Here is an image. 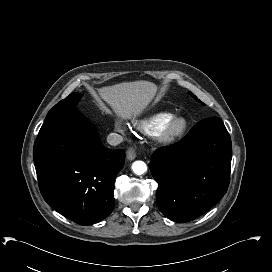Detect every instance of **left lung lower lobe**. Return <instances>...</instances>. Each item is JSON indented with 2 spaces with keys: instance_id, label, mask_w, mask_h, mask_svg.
<instances>
[{
  "instance_id": "obj_1",
  "label": "left lung lower lobe",
  "mask_w": 272,
  "mask_h": 272,
  "mask_svg": "<svg viewBox=\"0 0 272 272\" xmlns=\"http://www.w3.org/2000/svg\"><path fill=\"white\" fill-rule=\"evenodd\" d=\"M231 139L218 117L197 123L178 144L157 150L149 163L156 199L169 219L184 223L213 207L230 181Z\"/></svg>"
}]
</instances>
